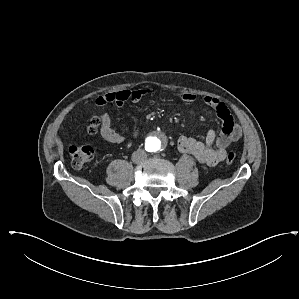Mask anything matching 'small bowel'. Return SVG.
<instances>
[{
	"mask_svg": "<svg viewBox=\"0 0 299 299\" xmlns=\"http://www.w3.org/2000/svg\"><path fill=\"white\" fill-rule=\"evenodd\" d=\"M153 94H155V90L124 89L100 96L95 103L98 107H104L107 104L122 107L126 102H138L143 97ZM180 99L183 102L191 103L195 100V96L191 93L183 92L180 95ZM203 102L207 107L215 111L219 117L221 121L220 134L217 135L214 130H209L204 141L182 135L178 137L176 145L179 151L192 155L200 163L214 166L225 160L228 146L240 138L241 129L235 123L228 107L221 100L206 96ZM100 134L105 140L113 144L119 145L126 141V136L118 132L114 118L109 113H103L101 116ZM132 135L134 139H138L140 131L134 129Z\"/></svg>",
	"mask_w": 299,
	"mask_h": 299,
	"instance_id": "small-bowel-1",
	"label": "small bowel"
}]
</instances>
